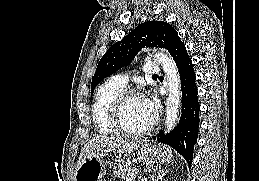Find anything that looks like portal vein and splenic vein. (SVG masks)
Here are the masks:
<instances>
[{
	"label": "portal vein and splenic vein",
	"mask_w": 259,
	"mask_h": 181,
	"mask_svg": "<svg viewBox=\"0 0 259 181\" xmlns=\"http://www.w3.org/2000/svg\"><path fill=\"white\" fill-rule=\"evenodd\" d=\"M126 181H132V179L131 178H127Z\"/></svg>",
	"instance_id": "obj_1"
}]
</instances>
